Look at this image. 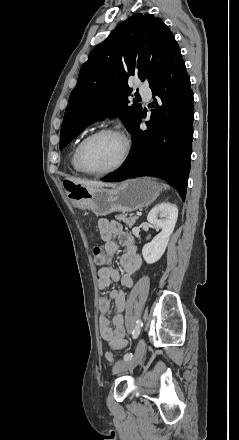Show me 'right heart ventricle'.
Instances as JSON below:
<instances>
[{"mask_svg": "<svg viewBox=\"0 0 239 440\" xmlns=\"http://www.w3.org/2000/svg\"><path fill=\"white\" fill-rule=\"evenodd\" d=\"M82 138H80L73 146L72 151H71V157H70V164H71V168L73 170V172L81 174L82 171L79 169L78 165H77V158H76V154H77V148L79 143L81 142Z\"/></svg>", "mask_w": 239, "mask_h": 440, "instance_id": "1", "label": "right heart ventricle"}]
</instances>
